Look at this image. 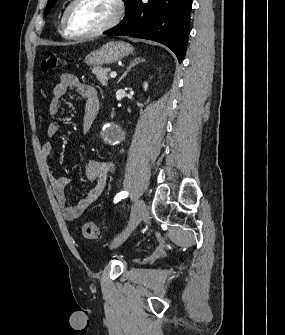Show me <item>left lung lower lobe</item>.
Segmentation results:
<instances>
[{"label": "left lung lower lobe", "instance_id": "obj_1", "mask_svg": "<svg viewBox=\"0 0 285 335\" xmlns=\"http://www.w3.org/2000/svg\"><path fill=\"white\" fill-rule=\"evenodd\" d=\"M126 15L108 36L127 35L169 47L182 62L190 28L191 0H124Z\"/></svg>", "mask_w": 285, "mask_h": 335}]
</instances>
